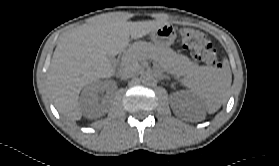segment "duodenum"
<instances>
[{
	"instance_id": "obj_1",
	"label": "duodenum",
	"mask_w": 279,
	"mask_h": 166,
	"mask_svg": "<svg viewBox=\"0 0 279 166\" xmlns=\"http://www.w3.org/2000/svg\"><path fill=\"white\" fill-rule=\"evenodd\" d=\"M130 45H126L124 48H123V52L127 51L129 49Z\"/></svg>"
}]
</instances>
